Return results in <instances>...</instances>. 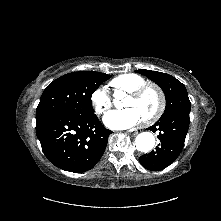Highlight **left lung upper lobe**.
Listing matches in <instances>:
<instances>
[{
	"label": "left lung upper lobe",
	"instance_id": "5c2ea615",
	"mask_svg": "<svg viewBox=\"0 0 221 221\" xmlns=\"http://www.w3.org/2000/svg\"><path fill=\"white\" fill-rule=\"evenodd\" d=\"M137 73L146 75L163 90L166 98V108L161 118L174 112H190L191 102L185 86L173 76L151 70H136Z\"/></svg>",
	"mask_w": 221,
	"mask_h": 221
}]
</instances>
